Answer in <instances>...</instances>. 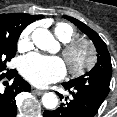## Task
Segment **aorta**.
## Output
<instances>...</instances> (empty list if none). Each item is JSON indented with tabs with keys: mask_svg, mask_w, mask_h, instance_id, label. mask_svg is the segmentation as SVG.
<instances>
[{
	"mask_svg": "<svg viewBox=\"0 0 117 117\" xmlns=\"http://www.w3.org/2000/svg\"><path fill=\"white\" fill-rule=\"evenodd\" d=\"M33 43L41 50L52 51L57 46L53 35L44 28H37L32 33ZM42 104L47 109H55L58 104V97L55 93L49 92L42 96Z\"/></svg>",
	"mask_w": 117,
	"mask_h": 117,
	"instance_id": "762f6f07",
	"label": "aorta"
}]
</instances>
